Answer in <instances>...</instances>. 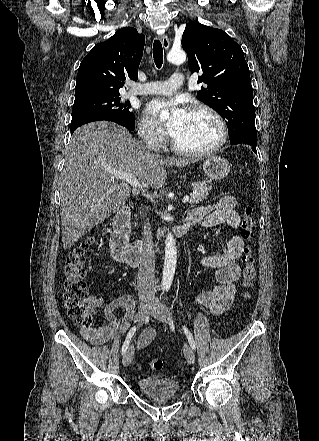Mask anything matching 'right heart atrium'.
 <instances>
[{
    "label": "right heart atrium",
    "mask_w": 319,
    "mask_h": 441,
    "mask_svg": "<svg viewBox=\"0 0 319 441\" xmlns=\"http://www.w3.org/2000/svg\"><path fill=\"white\" fill-rule=\"evenodd\" d=\"M138 134L141 141L153 149H162L167 137L164 131L148 116H143L138 123Z\"/></svg>",
    "instance_id": "obj_1"
}]
</instances>
